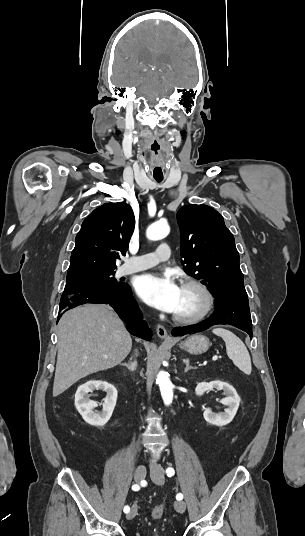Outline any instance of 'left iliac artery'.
Segmentation results:
<instances>
[{
	"label": "left iliac artery",
	"instance_id": "1",
	"mask_svg": "<svg viewBox=\"0 0 305 536\" xmlns=\"http://www.w3.org/2000/svg\"><path fill=\"white\" fill-rule=\"evenodd\" d=\"M166 473H167V476H168V477H171V476L174 475L175 471H174L173 468H167V469H166ZM176 499H177V500H182V499H183V495H182L181 493L177 494V495H176Z\"/></svg>",
	"mask_w": 305,
	"mask_h": 536
}]
</instances>
